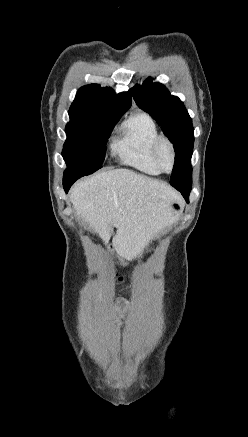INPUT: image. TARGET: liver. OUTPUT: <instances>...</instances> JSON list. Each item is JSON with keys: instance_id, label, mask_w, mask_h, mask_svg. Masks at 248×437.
Returning <instances> with one entry per match:
<instances>
[{"instance_id": "1", "label": "liver", "mask_w": 248, "mask_h": 437, "mask_svg": "<svg viewBox=\"0 0 248 437\" xmlns=\"http://www.w3.org/2000/svg\"><path fill=\"white\" fill-rule=\"evenodd\" d=\"M70 200L105 244L116 227V250L133 259L141 257L149 241L174 222L171 205L180 198L168 184L120 168L77 182Z\"/></svg>"}]
</instances>
